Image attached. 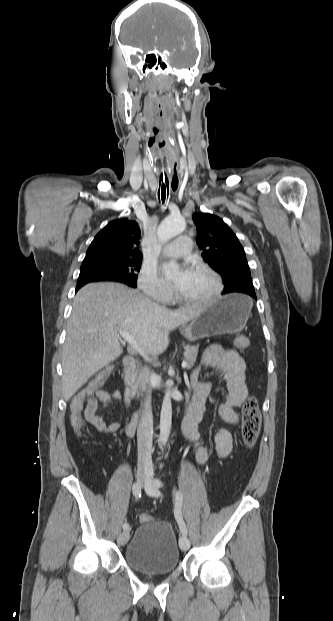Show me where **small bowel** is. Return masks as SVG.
Segmentation results:
<instances>
[{
  "label": "small bowel",
  "instance_id": "1",
  "mask_svg": "<svg viewBox=\"0 0 333 621\" xmlns=\"http://www.w3.org/2000/svg\"><path fill=\"white\" fill-rule=\"evenodd\" d=\"M200 366L210 367L217 371L222 377L228 388L227 400L220 407V415L229 424L238 422V414L235 408L241 406L248 396L246 384V364L243 358L234 350L223 349L219 346L209 347L202 355ZM200 366L197 367L190 376V383L193 388L194 402L182 424V432L185 438L192 443L193 453L199 465L207 462L206 451L197 443L195 423L200 419L203 406L211 393L212 382L208 379L198 380ZM119 391L109 392L107 390H97L94 394L86 398L84 406L85 422L101 433H113L120 427L119 422L111 420L106 423L97 414L98 402L111 416L109 405L113 400H120ZM216 450L221 458L230 455L233 448V436L229 430H220L215 436Z\"/></svg>",
  "mask_w": 333,
  "mask_h": 621
}]
</instances>
